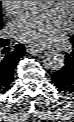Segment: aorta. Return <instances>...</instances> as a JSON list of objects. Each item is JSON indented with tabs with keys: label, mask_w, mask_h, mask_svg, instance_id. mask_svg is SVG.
Masks as SVG:
<instances>
[{
	"label": "aorta",
	"mask_w": 74,
	"mask_h": 122,
	"mask_svg": "<svg viewBox=\"0 0 74 122\" xmlns=\"http://www.w3.org/2000/svg\"><path fill=\"white\" fill-rule=\"evenodd\" d=\"M47 3L48 1H28V5L36 9L44 7ZM42 62L46 69L56 71L65 65V57L57 50H48L44 53Z\"/></svg>",
	"instance_id": "1"
}]
</instances>
